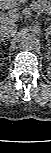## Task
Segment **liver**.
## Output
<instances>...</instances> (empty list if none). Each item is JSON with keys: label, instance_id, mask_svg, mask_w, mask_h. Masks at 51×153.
Masks as SVG:
<instances>
[{"label": "liver", "instance_id": "obj_1", "mask_svg": "<svg viewBox=\"0 0 51 153\" xmlns=\"http://www.w3.org/2000/svg\"><path fill=\"white\" fill-rule=\"evenodd\" d=\"M28 0H0V8L1 9H13L14 7L23 5ZM7 21H1V24ZM10 22V21H9Z\"/></svg>", "mask_w": 51, "mask_h": 153}]
</instances>
